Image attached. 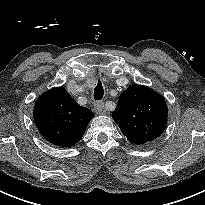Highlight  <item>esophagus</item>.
Instances as JSON below:
<instances>
[{
  "mask_svg": "<svg viewBox=\"0 0 205 205\" xmlns=\"http://www.w3.org/2000/svg\"><path fill=\"white\" fill-rule=\"evenodd\" d=\"M94 110L98 114H105L106 113L105 106H104L103 102H96L94 104Z\"/></svg>",
  "mask_w": 205,
  "mask_h": 205,
  "instance_id": "esophagus-1",
  "label": "esophagus"
}]
</instances>
